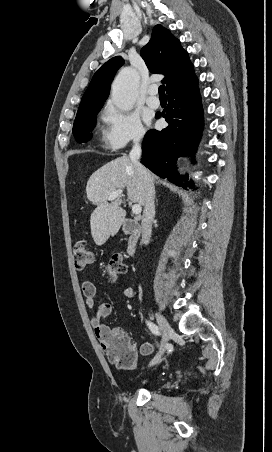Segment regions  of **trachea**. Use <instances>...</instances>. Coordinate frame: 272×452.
<instances>
[{
  "instance_id": "obj_1",
  "label": "trachea",
  "mask_w": 272,
  "mask_h": 452,
  "mask_svg": "<svg viewBox=\"0 0 272 452\" xmlns=\"http://www.w3.org/2000/svg\"><path fill=\"white\" fill-rule=\"evenodd\" d=\"M165 86L164 85H160L159 86V97H165Z\"/></svg>"
}]
</instances>
